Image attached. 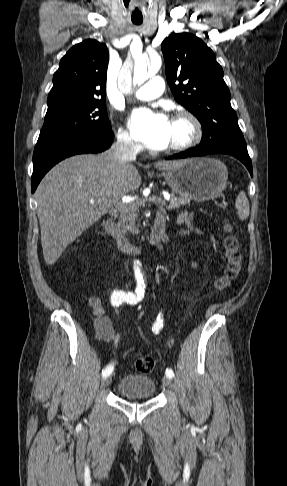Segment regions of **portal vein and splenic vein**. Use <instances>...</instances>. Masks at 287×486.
<instances>
[{
    "mask_svg": "<svg viewBox=\"0 0 287 486\" xmlns=\"http://www.w3.org/2000/svg\"><path fill=\"white\" fill-rule=\"evenodd\" d=\"M165 199H169V196H165ZM133 199L130 198V197H123L122 198V202L123 203H128L130 201H132ZM150 202H153L155 204H158V205H161V206H164L165 205V200L162 198V197H159V196H152V197H149L148 199H146ZM92 203H94V201H91ZM118 209H121L122 208V205H117L116 206Z\"/></svg>",
    "mask_w": 287,
    "mask_h": 486,
    "instance_id": "portal-vein-and-splenic-vein-1",
    "label": "portal vein and splenic vein"
}]
</instances>
